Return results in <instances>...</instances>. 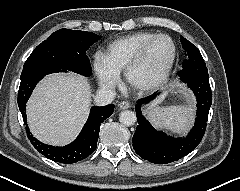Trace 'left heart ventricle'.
<instances>
[{
  "label": "left heart ventricle",
  "instance_id": "b2bd125f",
  "mask_svg": "<svg viewBox=\"0 0 240 191\" xmlns=\"http://www.w3.org/2000/svg\"><path fill=\"white\" fill-rule=\"evenodd\" d=\"M172 55L169 40L156 41L147 53L144 62L133 73V81L138 84H150L164 73Z\"/></svg>",
  "mask_w": 240,
  "mask_h": 191
}]
</instances>
